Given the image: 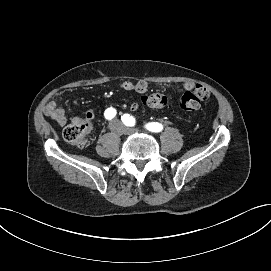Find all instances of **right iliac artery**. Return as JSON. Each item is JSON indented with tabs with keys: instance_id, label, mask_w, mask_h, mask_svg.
I'll list each match as a JSON object with an SVG mask.
<instances>
[{
	"instance_id": "82829eb1",
	"label": "right iliac artery",
	"mask_w": 271,
	"mask_h": 271,
	"mask_svg": "<svg viewBox=\"0 0 271 271\" xmlns=\"http://www.w3.org/2000/svg\"><path fill=\"white\" fill-rule=\"evenodd\" d=\"M115 115H116V110L112 107L108 108L104 113L105 118L109 120H111Z\"/></svg>"
}]
</instances>
